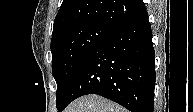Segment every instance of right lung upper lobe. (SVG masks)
I'll list each match as a JSON object with an SVG mask.
<instances>
[{"instance_id":"right-lung-upper-lobe-1","label":"right lung upper lobe","mask_w":193,"mask_h":112,"mask_svg":"<svg viewBox=\"0 0 193 112\" xmlns=\"http://www.w3.org/2000/svg\"><path fill=\"white\" fill-rule=\"evenodd\" d=\"M144 9L143 0H63L52 36L79 24H97L113 30Z\"/></svg>"}]
</instances>
